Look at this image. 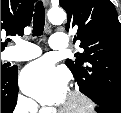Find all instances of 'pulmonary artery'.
I'll return each mask as SVG.
<instances>
[{"label": "pulmonary artery", "instance_id": "1", "mask_svg": "<svg viewBox=\"0 0 121 113\" xmlns=\"http://www.w3.org/2000/svg\"><path fill=\"white\" fill-rule=\"evenodd\" d=\"M49 45L54 50H65L67 47L66 34L54 33L49 40ZM40 54L41 50L38 46L23 41L7 52V59L12 61H28L38 57Z\"/></svg>", "mask_w": 121, "mask_h": 113}]
</instances>
